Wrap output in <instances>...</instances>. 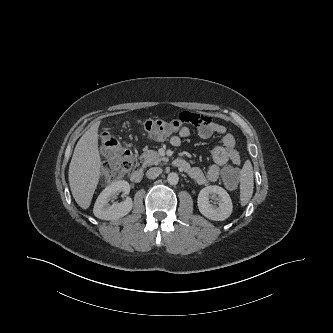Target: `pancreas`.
I'll return each instance as SVG.
<instances>
[{
	"instance_id": "pancreas-1",
	"label": "pancreas",
	"mask_w": 333,
	"mask_h": 333,
	"mask_svg": "<svg viewBox=\"0 0 333 333\" xmlns=\"http://www.w3.org/2000/svg\"><path fill=\"white\" fill-rule=\"evenodd\" d=\"M140 159L143 161V166L157 165L161 161H168V158L161 156L158 152L154 150H146L140 156Z\"/></svg>"
}]
</instances>
